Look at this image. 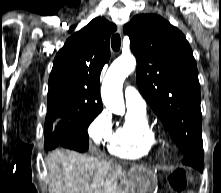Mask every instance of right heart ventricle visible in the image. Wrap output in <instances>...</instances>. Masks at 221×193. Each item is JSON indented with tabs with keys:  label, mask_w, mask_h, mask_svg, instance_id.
<instances>
[{
	"label": "right heart ventricle",
	"mask_w": 221,
	"mask_h": 193,
	"mask_svg": "<svg viewBox=\"0 0 221 193\" xmlns=\"http://www.w3.org/2000/svg\"><path fill=\"white\" fill-rule=\"evenodd\" d=\"M155 144L146 111L129 109L127 119L112 134L107 149L116 157L134 159L146 156Z\"/></svg>",
	"instance_id": "right-heart-ventricle-1"
}]
</instances>
